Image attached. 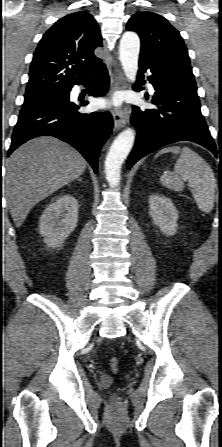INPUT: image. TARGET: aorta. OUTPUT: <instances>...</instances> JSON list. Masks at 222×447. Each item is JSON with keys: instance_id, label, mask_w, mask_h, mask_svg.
<instances>
[{"instance_id": "aorta-1", "label": "aorta", "mask_w": 222, "mask_h": 447, "mask_svg": "<svg viewBox=\"0 0 222 447\" xmlns=\"http://www.w3.org/2000/svg\"><path fill=\"white\" fill-rule=\"evenodd\" d=\"M140 39L134 32H125L120 40L119 58L126 77L134 82L138 70ZM135 139L133 129L123 130L112 143L105 159V174L110 186L120 183L121 166L132 149Z\"/></svg>"}]
</instances>
